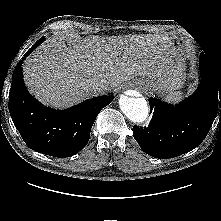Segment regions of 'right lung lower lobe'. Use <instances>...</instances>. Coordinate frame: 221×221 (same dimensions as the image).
Masks as SVG:
<instances>
[{"instance_id": "98d812e1", "label": "right lung lower lobe", "mask_w": 221, "mask_h": 221, "mask_svg": "<svg viewBox=\"0 0 221 221\" xmlns=\"http://www.w3.org/2000/svg\"><path fill=\"white\" fill-rule=\"evenodd\" d=\"M43 41L40 38L23 60ZM23 60L15 68L9 93L14 125L24 142L39 153L61 158L75 155L87 145L97 115L114 97H95L66 110L48 108L28 92L23 81Z\"/></svg>"}]
</instances>
